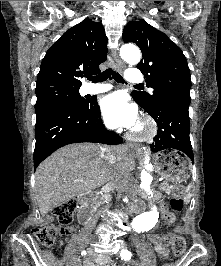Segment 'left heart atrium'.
Masks as SVG:
<instances>
[{
    "instance_id": "left-heart-atrium-1",
    "label": "left heart atrium",
    "mask_w": 221,
    "mask_h": 266,
    "mask_svg": "<svg viewBox=\"0 0 221 266\" xmlns=\"http://www.w3.org/2000/svg\"><path fill=\"white\" fill-rule=\"evenodd\" d=\"M101 112L106 124L111 128H134L138 124L136 106L128 103L122 93L106 96L101 102Z\"/></svg>"
}]
</instances>
